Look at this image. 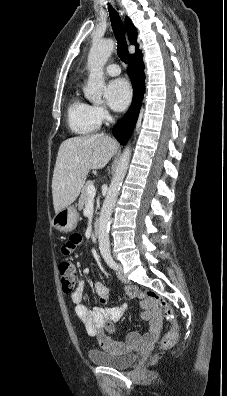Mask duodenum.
Segmentation results:
<instances>
[{"label":"duodenum","mask_w":227,"mask_h":396,"mask_svg":"<svg viewBox=\"0 0 227 396\" xmlns=\"http://www.w3.org/2000/svg\"><path fill=\"white\" fill-rule=\"evenodd\" d=\"M93 233H94L95 236H99V234H100V223H99V221H96L94 223Z\"/></svg>","instance_id":"obj_1"}]
</instances>
